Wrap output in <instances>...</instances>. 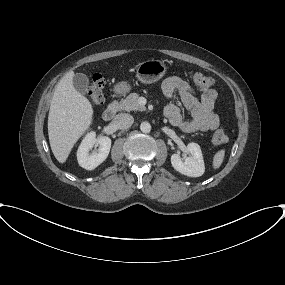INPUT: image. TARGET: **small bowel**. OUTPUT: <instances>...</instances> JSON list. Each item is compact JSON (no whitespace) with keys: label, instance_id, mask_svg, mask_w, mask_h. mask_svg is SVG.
<instances>
[{"label":"small bowel","instance_id":"small-bowel-1","mask_svg":"<svg viewBox=\"0 0 285 285\" xmlns=\"http://www.w3.org/2000/svg\"><path fill=\"white\" fill-rule=\"evenodd\" d=\"M162 92L168 99L178 93L182 104L191 114L190 120H184L180 108L173 102L169 103L164 114L172 125L185 132L213 131L219 127V117L214 113L216 90L205 89L198 98L187 81L178 76H171L163 82Z\"/></svg>","mask_w":285,"mask_h":285}]
</instances>
